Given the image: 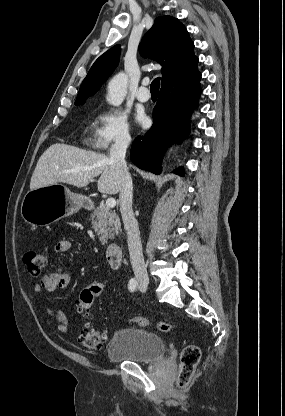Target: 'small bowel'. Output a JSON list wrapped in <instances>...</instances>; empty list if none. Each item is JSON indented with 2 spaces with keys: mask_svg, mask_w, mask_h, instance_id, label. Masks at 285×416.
<instances>
[{
  "mask_svg": "<svg viewBox=\"0 0 285 416\" xmlns=\"http://www.w3.org/2000/svg\"><path fill=\"white\" fill-rule=\"evenodd\" d=\"M70 247H71L70 241L63 239V240H60L56 244L55 249L57 252L63 253V252L68 251ZM70 283H71L70 273L61 268H57L53 270L52 272H50L49 274L44 275L40 279V281L34 285V291L36 293H42L44 291L56 292L59 290L66 289L67 287H69ZM46 311L53 319H55V329L57 333L61 335H68L69 330L67 326L66 317L64 316V314L61 313L60 311H57L51 308H47Z\"/></svg>",
  "mask_w": 285,
  "mask_h": 416,
  "instance_id": "small-bowel-1",
  "label": "small bowel"
}]
</instances>
